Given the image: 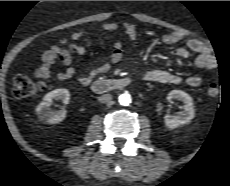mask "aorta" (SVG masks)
<instances>
[{"label": "aorta", "mask_w": 230, "mask_h": 186, "mask_svg": "<svg viewBox=\"0 0 230 186\" xmlns=\"http://www.w3.org/2000/svg\"><path fill=\"white\" fill-rule=\"evenodd\" d=\"M132 101L130 94L124 93L119 96V103L123 106H128Z\"/></svg>", "instance_id": "obj_1"}]
</instances>
